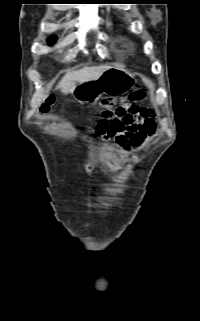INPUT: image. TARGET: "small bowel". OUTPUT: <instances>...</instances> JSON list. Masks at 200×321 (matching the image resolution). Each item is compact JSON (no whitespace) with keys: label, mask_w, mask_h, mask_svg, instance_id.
<instances>
[{"label":"small bowel","mask_w":200,"mask_h":321,"mask_svg":"<svg viewBox=\"0 0 200 321\" xmlns=\"http://www.w3.org/2000/svg\"><path fill=\"white\" fill-rule=\"evenodd\" d=\"M154 112L149 109L129 111L116 120H103L96 128V135L103 140L114 141L124 150L139 147L156 131Z\"/></svg>","instance_id":"obj_1"}]
</instances>
